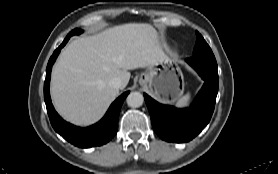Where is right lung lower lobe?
Segmentation results:
<instances>
[{"label": "right lung lower lobe", "instance_id": "1", "mask_svg": "<svg viewBox=\"0 0 278 174\" xmlns=\"http://www.w3.org/2000/svg\"><path fill=\"white\" fill-rule=\"evenodd\" d=\"M69 38L70 37H66L63 43L54 51L46 68V79L44 83V100L46 103L49 119L54 130L58 134H60L64 139H66L75 146L88 148L92 146L102 145L111 140L116 134L118 128V118L120 109L129 92H125L119 98H117L112 103L103 119L93 126L87 128H80L64 121L57 114L52 105L50 99L49 84L52 65L55 62L61 48L68 42Z\"/></svg>", "mask_w": 278, "mask_h": 174}]
</instances>
